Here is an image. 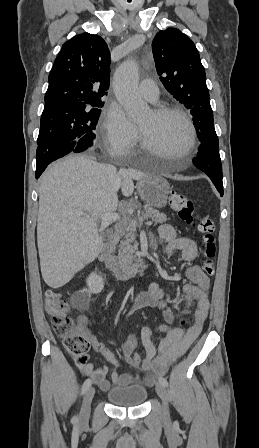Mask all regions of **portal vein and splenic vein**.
<instances>
[{"label":"portal vein and splenic vein","instance_id":"obj_1","mask_svg":"<svg viewBox=\"0 0 259 448\" xmlns=\"http://www.w3.org/2000/svg\"><path fill=\"white\" fill-rule=\"evenodd\" d=\"M75 214H77V216H87V214H84V212H79V210H76ZM120 218H121L120 214H114V212H109V214H105V216H102V218H100L101 228H108L109 224L117 222V220H120ZM132 226H136V222H132Z\"/></svg>","mask_w":259,"mask_h":448}]
</instances>
